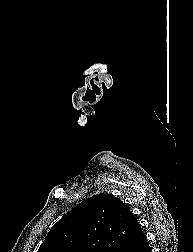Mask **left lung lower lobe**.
I'll list each match as a JSON object with an SVG mask.
<instances>
[{"label":"left lung lower lobe","mask_w":193,"mask_h":252,"mask_svg":"<svg viewBox=\"0 0 193 252\" xmlns=\"http://www.w3.org/2000/svg\"><path fill=\"white\" fill-rule=\"evenodd\" d=\"M123 252H152L140 224L136 227Z\"/></svg>","instance_id":"1"}]
</instances>
